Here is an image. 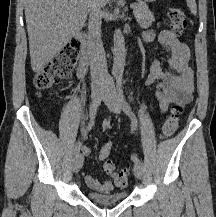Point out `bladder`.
Instances as JSON below:
<instances>
[{
  "label": "bladder",
  "instance_id": "1",
  "mask_svg": "<svg viewBox=\"0 0 216 217\" xmlns=\"http://www.w3.org/2000/svg\"><path fill=\"white\" fill-rule=\"evenodd\" d=\"M126 191H114L109 193H97L88 191L87 197L90 201L101 205H113L124 201L127 198Z\"/></svg>",
  "mask_w": 216,
  "mask_h": 217
}]
</instances>
